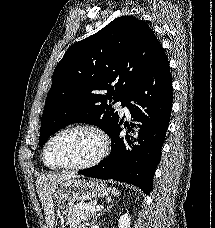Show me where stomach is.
I'll return each mask as SVG.
<instances>
[{
  "label": "stomach",
  "mask_w": 215,
  "mask_h": 228,
  "mask_svg": "<svg viewBox=\"0 0 215 228\" xmlns=\"http://www.w3.org/2000/svg\"><path fill=\"white\" fill-rule=\"evenodd\" d=\"M106 194L107 188L100 180H61L55 186H51V198L56 216L53 228L63 226L66 202L97 200Z\"/></svg>",
  "instance_id": "stomach-1"
}]
</instances>
